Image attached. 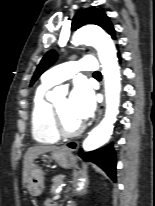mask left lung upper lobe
Returning <instances> with one entry per match:
<instances>
[{"mask_svg":"<svg viewBox=\"0 0 155 206\" xmlns=\"http://www.w3.org/2000/svg\"><path fill=\"white\" fill-rule=\"evenodd\" d=\"M86 24H95L106 30L113 39H115V30L111 24L109 17L97 8H87L79 11L74 17L71 24V30L75 31ZM57 59V54L51 50L40 61L37 69L32 77L30 86L46 71Z\"/></svg>","mask_w":155,"mask_h":206,"instance_id":"5c2ea615","label":"left lung upper lobe"}]
</instances>
